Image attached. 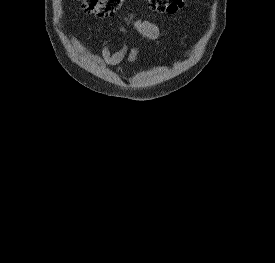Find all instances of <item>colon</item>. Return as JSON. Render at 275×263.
<instances>
[{
    "label": "colon",
    "instance_id": "obj_1",
    "mask_svg": "<svg viewBox=\"0 0 275 263\" xmlns=\"http://www.w3.org/2000/svg\"><path fill=\"white\" fill-rule=\"evenodd\" d=\"M125 0H81L82 9L97 17H109L118 12ZM149 8L157 12L176 13L185 6V0H146Z\"/></svg>",
    "mask_w": 275,
    "mask_h": 263
}]
</instances>
